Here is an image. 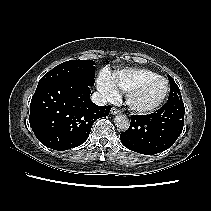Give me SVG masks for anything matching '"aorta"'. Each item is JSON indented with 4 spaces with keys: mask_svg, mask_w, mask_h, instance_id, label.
<instances>
[{
    "mask_svg": "<svg viewBox=\"0 0 211 211\" xmlns=\"http://www.w3.org/2000/svg\"><path fill=\"white\" fill-rule=\"evenodd\" d=\"M114 120L115 125L123 131L127 130L130 126L129 119L123 114L117 115Z\"/></svg>",
    "mask_w": 211,
    "mask_h": 211,
    "instance_id": "obj_1",
    "label": "aorta"
}]
</instances>
